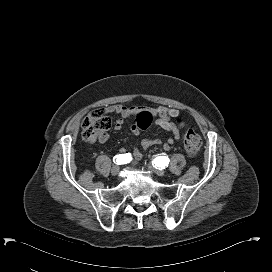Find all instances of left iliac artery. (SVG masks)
Masks as SVG:
<instances>
[{
	"label": "left iliac artery",
	"mask_w": 272,
	"mask_h": 272,
	"mask_svg": "<svg viewBox=\"0 0 272 272\" xmlns=\"http://www.w3.org/2000/svg\"><path fill=\"white\" fill-rule=\"evenodd\" d=\"M152 164L155 166V168H162L164 169L169 164V158L167 156L161 155L157 156L153 161Z\"/></svg>",
	"instance_id": "left-iliac-artery-1"
}]
</instances>
